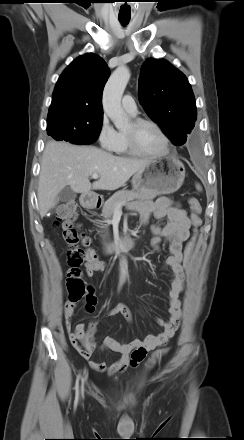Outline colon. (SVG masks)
Returning a JSON list of instances; mask_svg holds the SVG:
<instances>
[{
	"label": "colon",
	"mask_w": 244,
	"mask_h": 440,
	"mask_svg": "<svg viewBox=\"0 0 244 440\" xmlns=\"http://www.w3.org/2000/svg\"><path fill=\"white\" fill-rule=\"evenodd\" d=\"M189 204L191 208L193 234L187 241L184 249L183 266L185 269H187L190 264L196 232L202 224L200 217L202 207L199 200L196 198H190ZM76 215L77 204L74 201L65 202L56 210L55 224L61 230L62 238L69 246L67 251V261L70 266L67 274L68 301L65 309L81 300H86L87 307H90L94 303L92 288L83 281L79 267L84 260L94 263L100 262L95 252L92 250H83L82 248L78 247L80 242H82L84 245L87 244V239L81 235L74 226ZM167 352L168 349L155 352L149 359L147 367L152 368L156 362L159 361Z\"/></svg>",
	"instance_id": "colon-1"
}]
</instances>
